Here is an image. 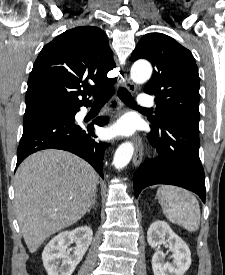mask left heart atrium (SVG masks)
Here are the masks:
<instances>
[{"label": "left heart atrium", "instance_id": "39dd6f15", "mask_svg": "<svg viewBox=\"0 0 225 275\" xmlns=\"http://www.w3.org/2000/svg\"><path fill=\"white\" fill-rule=\"evenodd\" d=\"M134 131V124L129 119H123L108 130L110 136H126Z\"/></svg>", "mask_w": 225, "mask_h": 275}]
</instances>
